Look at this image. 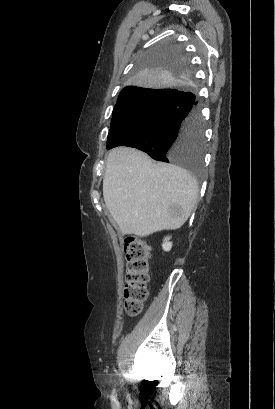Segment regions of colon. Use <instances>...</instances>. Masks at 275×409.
Here are the masks:
<instances>
[{"label":"colon","mask_w":275,"mask_h":409,"mask_svg":"<svg viewBox=\"0 0 275 409\" xmlns=\"http://www.w3.org/2000/svg\"><path fill=\"white\" fill-rule=\"evenodd\" d=\"M127 274L123 288V307L127 315L140 314L148 296L150 246L141 238L128 236L124 240Z\"/></svg>","instance_id":"colon-1"}]
</instances>
